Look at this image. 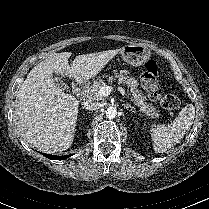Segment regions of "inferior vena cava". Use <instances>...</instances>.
<instances>
[{
    "label": "inferior vena cava",
    "instance_id": "inferior-vena-cava-1",
    "mask_svg": "<svg viewBox=\"0 0 209 209\" xmlns=\"http://www.w3.org/2000/svg\"><path fill=\"white\" fill-rule=\"evenodd\" d=\"M83 108L90 110V111H96L100 108V103L98 102H83L82 103Z\"/></svg>",
    "mask_w": 209,
    "mask_h": 209
}]
</instances>
